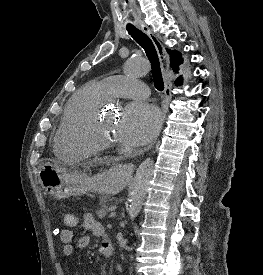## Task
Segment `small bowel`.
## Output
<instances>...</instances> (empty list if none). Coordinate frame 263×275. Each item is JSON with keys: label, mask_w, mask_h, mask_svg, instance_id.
Segmentation results:
<instances>
[{"label": "small bowel", "mask_w": 263, "mask_h": 275, "mask_svg": "<svg viewBox=\"0 0 263 275\" xmlns=\"http://www.w3.org/2000/svg\"><path fill=\"white\" fill-rule=\"evenodd\" d=\"M82 228L85 231L92 233L94 236L103 239L99 251L101 255L106 256L105 253L108 250L110 243L106 239V233L103 225L100 222L96 221L92 214L87 213L82 219ZM59 238L64 245L62 250V259L64 261L68 260L76 251L88 247L91 242V238L88 235H83L79 237L76 242H74V231L69 228L60 230Z\"/></svg>", "instance_id": "obj_1"}]
</instances>
